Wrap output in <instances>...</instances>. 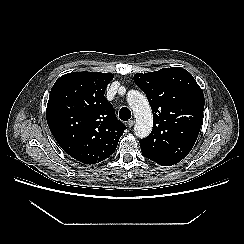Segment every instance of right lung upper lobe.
<instances>
[{
    "instance_id": "cb5924a9",
    "label": "right lung upper lobe",
    "mask_w": 244,
    "mask_h": 244,
    "mask_svg": "<svg viewBox=\"0 0 244 244\" xmlns=\"http://www.w3.org/2000/svg\"><path fill=\"white\" fill-rule=\"evenodd\" d=\"M113 74L73 72L53 85L46 109L47 123L61 148L84 164L112 155L126 126L104 97Z\"/></svg>"
}]
</instances>
